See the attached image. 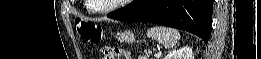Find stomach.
<instances>
[{
  "label": "stomach",
  "mask_w": 261,
  "mask_h": 59,
  "mask_svg": "<svg viewBox=\"0 0 261 59\" xmlns=\"http://www.w3.org/2000/svg\"><path fill=\"white\" fill-rule=\"evenodd\" d=\"M119 40L126 43H132L135 40V37L132 32L124 31L119 34Z\"/></svg>",
  "instance_id": "stomach-1"
}]
</instances>
